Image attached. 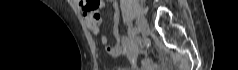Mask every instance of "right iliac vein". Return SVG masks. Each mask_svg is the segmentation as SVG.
<instances>
[{"label": "right iliac vein", "instance_id": "63e3f726", "mask_svg": "<svg viewBox=\"0 0 238 70\" xmlns=\"http://www.w3.org/2000/svg\"><path fill=\"white\" fill-rule=\"evenodd\" d=\"M137 27L143 36L147 34L148 23H147V20L143 16H139L137 18Z\"/></svg>", "mask_w": 238, "mask_h": 70}]
</instances>
